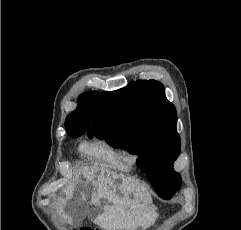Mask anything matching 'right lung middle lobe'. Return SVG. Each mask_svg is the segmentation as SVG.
<instances>
[{
  "label": "right lung middle lobe",
  "mask_w": 241,
  "mask_h": 230,
  "mask_svg": "<svg viewBox=\"0 0 241 230\" xmlns=\"http://www.w3.org/2000/svg\"><path fill=\"white\" fill-rule=\"evenodd\" d=\"M85 132V130H75V131H72L70 133H68L70 136L72 137H79L81 136L83 133Z\"/></svg>",
  "instance_id": "dd1d6c3e"
}]
</instances>
